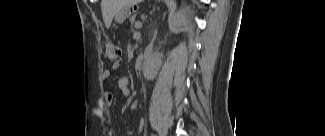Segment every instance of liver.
<instances>
[{
	"label": "liver",
	"instance_id": "obj_1",
	"mask_svg": "<svg viewBox=\"0 0 325 136\" xmlns=\"http://www.w3.org/2000/svg\"><path fill=\"white\" fill-rule=\"evenodd\" d=\"M140 2V0H101V11L103 21L107 29H109L115 13L120 11L127 5Z\"/></svg>",
	"mask_w": 325,
	"mask_h": 136
}]
</instances>
